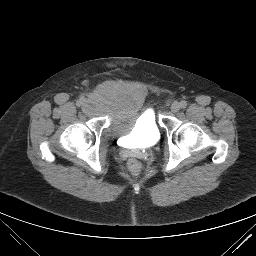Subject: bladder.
<instances>
[{
    "label": "bladder",
    "instance_id": "bladder-1",
    "mask_svg": "<svg viewBox=\"0 0 256 256\" xmlns=\"http://www.w3.org/2000/svg\"><path fill=\"white\" fill-rule=\"evenodd\" d=\"M91 103L106 110L110 130L119 137H127L129 143L149 146L159 139L156 115L147 105L141 88L131 85L104 88L93 93Z\"/></svg>",
    "mask_w": 256,
    "mask_h": 256
}]
</instances>
